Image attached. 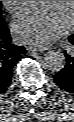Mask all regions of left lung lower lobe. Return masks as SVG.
I'll return each instance as SVG.
<instances>
[{"label": "left lung lower lobe", "mask_w": 74, "mask_h": 122, "mask_svg": "<svg viewBox=\"0 0 74 122\" xmlns=\"http://www.w3.org/2000/svg\"><path fill=\"white\" fill-rule=\"evenodd\" d=\"M69 41L74 45V34L69 36ZM65 56L66 65L54 75V81L61 90L74 94V54Z\"/></svg>", "instance_id": "0a47b994"}]
</instances>
